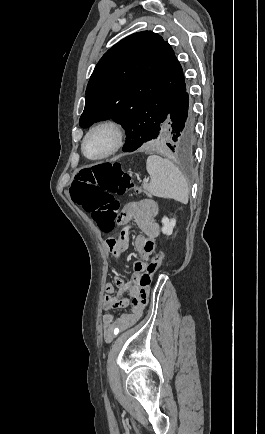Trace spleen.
Listing matches in <instances>:
<instances>
[{
    "instance_id": "spleen-1",
    "label": "spleen",
    "mask_w": 265,
    "mask_h": 434,
    "mask_svg": "<svg viewBox=\"0 0 265 434\" xmlns=\"http://www.w3.org/2000/svg\"><path fill=\"white\" fill-rule=\"evenodd\" d=\"M146 170L151 178L149 190L157 198H172L181 204H188L187 182L177 166L167 158L149 156Z\"/></svg>"
}]
</instances>
